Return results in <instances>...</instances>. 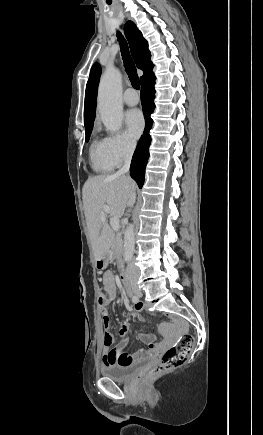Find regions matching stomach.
<instances>
[{"instance_id": "obj_1", "label": "stomach", "mask_w": 263, "mask_h": 435, "mask_svg": "<svg viewBox=\"0 0 263 435\" xmlns=\"http://www.w3.org/2000/svg\"><path fill=\"white\" fill-rule=\"evenodd\" d=\"M110 259L109 255H105L96 260V266L99 269H103L106 267L108 260Z\"/></svg>"}]
</instances>
